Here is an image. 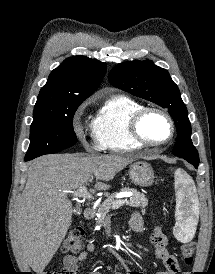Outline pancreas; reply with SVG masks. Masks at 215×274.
Segmentation results:
<instances>
[{
    "instance_id": "1",
    "label": "pancreas",
    "mask_w": 215,
    "mask_h": 274,
    "mask_svg": "<svg viewBox=\"0 0 215 274\" xmlns=\"http://www.w3.org/2000/svg\"><path fill=\"white\" fill-rule=\"evenodd\" d=\"M121 191L131 192L132 196L127 202L128 206L131 207H141L142 212H145V207L148 204V200L143 193H140L136 189L133 188H122ZM116 194H111L98 208L99 217L96 218V224L103 225L109 218V211L112 208L113 204L117 201Z\"/></svg>"
}]
</instances>
